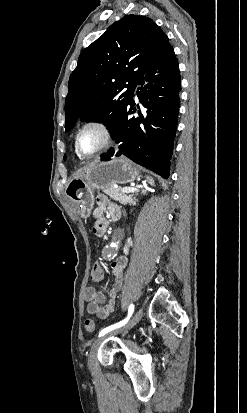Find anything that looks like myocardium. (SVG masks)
<instances>
[{"instance_id":"obj_1","label":"myocardium","mask_w":247,"mask_h":413,"mask_svg":"<svg viewBox=\"0 0 247 413\" xmlns=\"http://www.w3.org/2000/svg\"><path fill=\"white\" fill-rule=\"evenodd\" d=\"M90 128H95V129H100L104 133V140L102 144L93 152L91 153H85L82 151L80 147V135L87 129ZM115 140V133L114 130L105 122L99 121V120H92L87 123H85L78 131L76 132L75 139H74V144L76 151L79 156H81L84 159H92L96 156H98L100 153H102L105 149H107L109 146L113 144Z\"/></svg>"}]
</instances>
